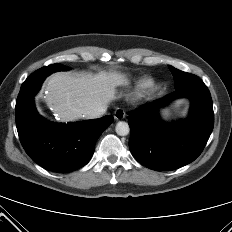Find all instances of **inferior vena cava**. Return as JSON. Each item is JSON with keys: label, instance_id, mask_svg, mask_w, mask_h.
Listing matches in <instances>:
<instances>
[{"label": "inferior vena cava", "instance_id": "inferior-vena-cava-1", "mask_svg": "<svg viewBox=\"0 0 232 232\" xmlns=\"http://www.w3.org/2000/svg\"><path fill=\"white\" fill-rule=\"evenodd\" d=\"M107 110V106L103 105V106H100L94 110H91V111H87L85 113V118L87 119H95V118H99L101 117L103 114H105Z\"/></svg>", "mask_w": 232, "mask_h": 232}]
</instances>
